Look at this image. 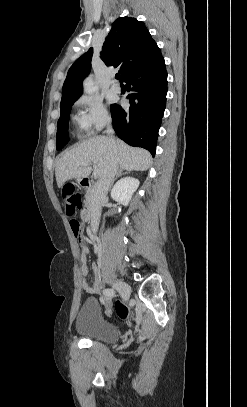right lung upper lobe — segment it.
Instances as JSON below:
<instances>
[{"label": "right lung upper lobe", "instance_id": "obj_1", "mask_svg": "<svg viewBox=\"0 0 247 407\" xmlns=\"http://www.w3.org/2000/svg\"><path fill=\"white\" fill-rule=\"evenodd\" d=\"M92 54L93 49L90 48L69 69L62 89L61 104L77 100L82 94V82L91 70ZM161 56L145 24L131 17H120L112 24L101 52L106 65L120 67L121 80L136 68Z\"/></svg>", "mask_w": 247, "mask_h": 407}]
</instances>
